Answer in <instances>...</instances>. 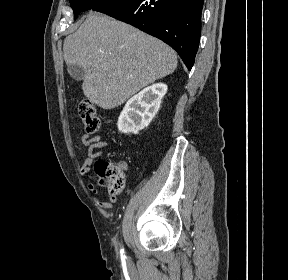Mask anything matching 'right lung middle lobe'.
Segmentation results:
<instances>
[{
	"label": "right lung middle lobe",
	"mask_w": 288,
	"mask_h": 280,
	"mask_svg": "<svg viewBox=\"0 0 288 280\" xmlns=\"http://www.w3.org/2000/svg\"><path fill=\"white\" fill-rule=\"evenodd\" d=\"M111 0H69L70 6L74 11V19L77 18L80 12L96 8Z\"/></svg>",
	"instance_id": "right-lung-middle-lobe-1"
}]
</instances>
